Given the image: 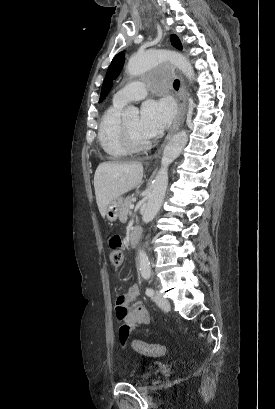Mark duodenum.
<instances>
[{"label": "duodenum", "instance_id": "duodenum-1", "mask_svg": "<svg viewBox=\"0 0 275 409\" xmlns=\"http://www.w3.org/2000/svg\"><path fill=\"white\" fill-rule=\"evenodd\" d=\"M141 237V229L139 227H134L129 236V244L131 247L137 246Z\"/></svg>", "mask_w": 275, "mask_h": 409}]
</instances>
